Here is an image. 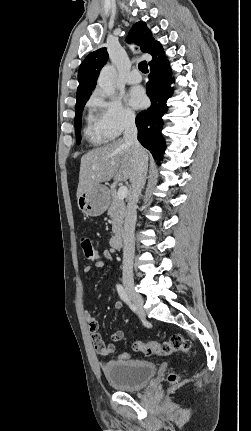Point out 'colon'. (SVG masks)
<instances>
[{
	"mask_svg": "<svg viewBox=\"0 0 251 431\" xmlns=\"http://www.w3.org/2000/svg\"><path fill=\"white\" fill-rule=\"evenodd\" d=\"M80 247L84 257L89 261H96L98 259V253L95 250L92 241L88 237L80 238ZM133 349L138 352H142L145 355H157V356H169L174 352H183L187 356L191 354V342L179 334L172 335L167 341H136L133 344ZM129 354L116 353L114 360L116 362H125ZM179 377L176 373H169L167 380L170 384H174L178 381Z\"/></svg>",
	"mask_w": 251,
	"mask_h": 431,
	"instance_id": "colon-1",
	"label": "colon"
}]
</instances>
